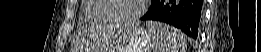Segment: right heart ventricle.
Returning a JSON list of instances; mask_svg holds the SVG:
<instances>
[{
	"label": "right heart ventricle",
	"instance_id": "1",
	"mask_svg": "<svg viewBox=\"0 0 261 52\" xmlns=\"http://www.w3.org/2000/svg\"><path fill=\"white\" fill-rule=\"evenodd\" d=\"M107 0H86L83 6L85 20L92 24L113 23L106 8Z\"/></svg>",
	"mask_w": 261,
	"mask_h": 52
}]
</instances>
